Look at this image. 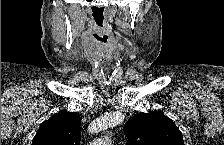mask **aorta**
<instances>
[{"mask_svg": "<svg viewBox=\"0 0 224 145\" xmlns=\"http://www.w3.org/2000/svg\"><path fill=\"white\" fill-rule=\"evenodd\" d=\"M109 142H110V139L109 138H104L102 140V143H104V144H108Z\"/></svg>", "mask_w": 224, "mask_h": 145, "instance_id": "obj_1", "label": "aorta"}]
</instances>
